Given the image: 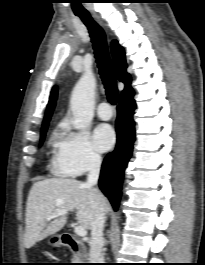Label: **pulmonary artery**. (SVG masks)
I'll return each mask as SVG.
<instances>
[{
	"instance_id": "e3ab8cb5",
	"label": "pulmonary artery",
	"mask_w": 205,
	"mask_h": 265,
	"mask_svg": "<svg viewBox=\"0 0 205 265\" xmlns=\"http://www.w3.org/2000/svg\"><path fill=\"white\" fill-rule=\"evenodd\" d=\"M98 116L103 120H109L112 117V109L107 102H102L97 108Z\"/></svg>"
}]
</instances>
